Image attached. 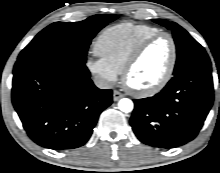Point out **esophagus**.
I'll list each match as a JSON object with an SVG mask.
<instances>
[{
    "instance_id": "34e87169",
    "label": "esophagus",
    "mask_w": 220,
    "mask_h": 173,
    "mask_svg": "<svg viewBox=\"0 0 220 173\" xmlns=\"http://www.w3.org/2000/svg\"><path fill=\"white\" fill-rule=\"evenodd\" d=\"M122 97H124V95L121 92H119L118 90L113 91V100L114 101H118Z\"/></svg>"
}]
</instances>
